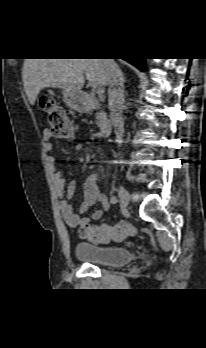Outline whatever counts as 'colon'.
Returning a JSON list of instances; mask_svg holds the SVG:
<instances>
[{
    "label": "colon",
    "instance_id": "colon-1",
    "mask_svg": "<svg viewBox=\"0 0 206 348\" xmlns=\"http://www.w3.org/2000/svg\"><path fill=\"white\" fill-rule=\"evenodd\" d=\"M40 107L46 113L50 132L54 137L72 139L74 127L65 113V110L51 96H44L40 101ZM136 233V227L132 223L119 222L114 225H86L80 229V235L95 243L110 241L119 242Z\"/></svg>",
    "mask_w": 206,
    "mask_h": 348
}]
</instances>
